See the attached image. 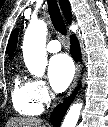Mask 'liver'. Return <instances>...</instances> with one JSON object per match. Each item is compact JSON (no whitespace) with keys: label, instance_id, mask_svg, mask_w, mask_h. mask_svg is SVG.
<instances>
[{"label":"liver","instance_id":"6515ba94","mask_svg":"<svg viewBox=\"0 0 108 127\" xmlns=\"http://www.w3.org/2000/svg\"><path fill=\"white\" fill-rule=\"evenodd\" d=\"M5 127H45L42 120L34 117H15L10 118Z\"/></svg>","mask_w":108,"mask_h":127}]
</instances>
